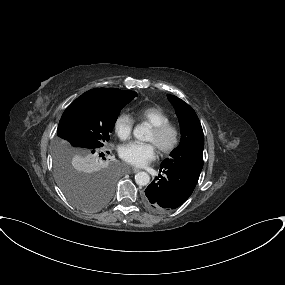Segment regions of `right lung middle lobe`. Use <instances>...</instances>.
Segmentation results:
<instances>
[{
    "label": "right lung middle lobe",
    "instance_id": "obj_1",
    "mask_svg": "<svg viewBox=\"0 0 285 285\" xmlns=\"http://www.w3.org/2000/svg\"><path fill=\"white\" fill-rule=\"evenodd\" d=\"M137 93L117 88L91 89L64 111L54 147L56 180L77 207L97 211L110 200L113 173L110 166L93 171L91 164L108 142L120 110Z\"/></svg>",
    "mask_w": 285,
    "mask_h": 285
}]
</instances>
